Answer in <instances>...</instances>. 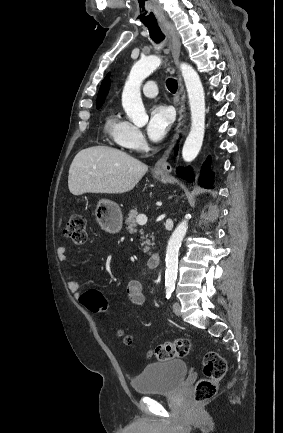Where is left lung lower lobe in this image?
Here are the masks:
<instances>
[{
    "instance_id": "obj_1",
    "label": "left lung lower lobe",
    "mask_w": 283,
    "mask_h": 433,
    "mask_svg": "<svg viewBox=\"0 0 283 433\" xmlns=\"http://www.w3.org/2000/svg\"><path fill=\"white\" fill-rule=\"evenodd\" d=\"M177 175L180 178L185 179L189 182L194 179V175H193L192 169L190 167L178 168L177 169ZM200 183H201V185H204L205 187H211V185L213 183V175L210 171V158L207 159V161L205 162V164L202 167Z\"/></svg>"
}]
</instances>
